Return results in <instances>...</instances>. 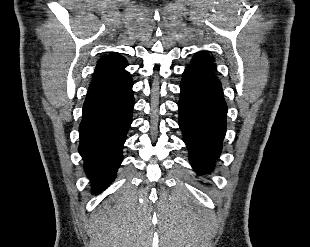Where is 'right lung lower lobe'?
I'll return each instance as SVG.
<instances>
[{
	"label": "right lung lower lobe",
	"mask_w": 310,
	"mask_h": 247,
	"mask_svg": "<svg viewBox=\"0 0 310 247\" xmlns=\"http://www.w3.org/2000/svg\"><path fill=\"white\" fill-rule=\"evenodd\" d=\"M132 82L89 88L79 126V153L94 193L112 182L132 122Z\"/></svg>",
	"instance_id": "obj_1"
}]
</instances>
